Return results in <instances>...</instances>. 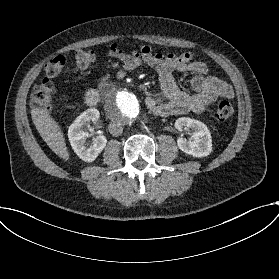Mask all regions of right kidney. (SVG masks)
I'll use <instances>...</instances> for the list:
<instances>
[{
	"label": "right kidney",
	"mask_w": 279,
	"mask_h": 279,
	"mask_svg": "<svg viewBox=\"0 0 279 279\" xmlns=\"http://www.w3.org/2000/svg\"><path fill=\"white\" fill-rule=\"evenodd\" d=\"M100 113L95 108H89L81 113L69 126L68 138L72 149L80 159L86 162L94 161L105 148L107 139L104 135H98L93 139V144L86 147V139L90 136L83 127L90 121H97Z\"/></svg>",
	"instance_id": "right-kidney-1"
}]
</instances>
